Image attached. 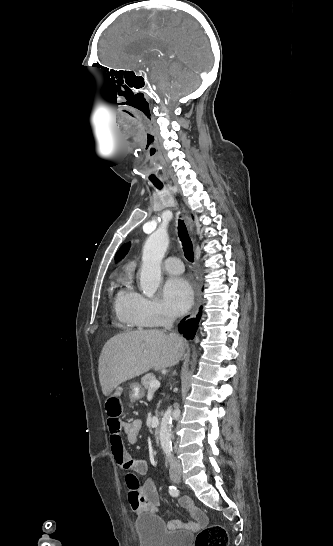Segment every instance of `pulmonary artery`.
Returning <instances> with one entry per match:
<instances>
[{
    "mask_svg": "<svg viewBox=\"0 0 333 546\" xmlns=\"http://www.w3.org/2000/svg\"><path fill=\"white\" fill-rule=\"evenodd\" d=\"M162 268L172 274H180L184 270L182 262L176 257H167L162 263Z\"/></svg>",
    "mask_w": 333,
    "mask_h": 546,
    "instance_id": "e3ab8cb5",
    "label": "pulmonary artery"
}]
</instances>
